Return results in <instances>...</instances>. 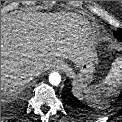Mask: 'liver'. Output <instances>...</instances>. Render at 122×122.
<instances>
[{
  "mask_svg": "<svg viewBox=\"0 0 122 122\" xmlns=\"http://www.w3.org/2000/svg\"><path fill=\"white\" fill-rule=\"evenodd\" d=\"M91 26L75 13L17 12L1 17V102L15 98L51 61L79 64L94 49ZM42 71V72H43Z\"/></svg>",
  "mask_w": 122,
  "mask_h": 122,
  "instance_id": "6515ba94",
  "label": "liver"
}]
</instances>
